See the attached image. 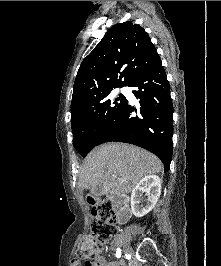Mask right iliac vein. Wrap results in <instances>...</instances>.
<instances>
[{"instance_id":"obj_1","label":"right iliac vein","mask_w":221,"mask_h":266,"mask_svg":"<svg viewBox=\"0 0 221 266\" xmlns=\"http://www.w3.org/2000/svg\"><path fill=\"white\" fill-rule=\"evenodd\" d=\"M124 252L125 253H130L131 252V248L129 246H124Z\"/></svg>"}]
</instances>
